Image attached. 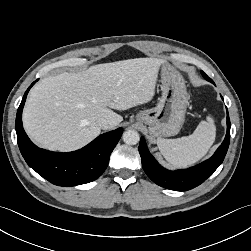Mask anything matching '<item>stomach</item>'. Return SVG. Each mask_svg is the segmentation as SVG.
<instances>
[{
    "label": "stomach",
    "mask_w": 251,
    "mask_h": 251,
    "mask_svg": "<svg viewBox=\"0 0 251 251\" xmlns=\"http://www.w3.org/2000/svg\"><path fill=\"white\" fill-rule=\"evenodd\" d=\"M162 96L156 107L139 112L136 120L148 125L151 138L179 133L185 121L189 96L183 76L167 62L161 65Z\"/></svg>",
    "instance_id": "obj_1"
}]
</instances>
